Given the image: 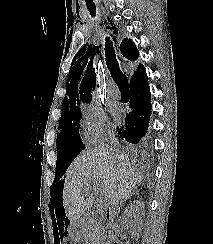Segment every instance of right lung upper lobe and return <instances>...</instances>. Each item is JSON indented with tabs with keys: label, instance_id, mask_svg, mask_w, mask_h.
Instances as JSON below:
<instances>
[{
	"label": "right lung upper lobe",
	"instance_id": "1",
	"mask_svg": "<svg viewBox=\"0 0 213 244\" xmlns=\"http://www.w3.org/2000/svg\"><path fill=\"white\" fill-rule=\"evenodd\" d=\"M120 50L126 61H134L138 58V50L135 44L128 39H124L121 43ZM143 65L139 64L134 72L132 79H134L143 69ZM68 80L67 95L64 98L62 112L75 106H80L83 103L91 101L92 88L95 86V72L93 71L92 58H81L74 67L70 69Z\"/></svg>",
	"mask_w": 213,
	"mask_h": 244
}]
</instances>
